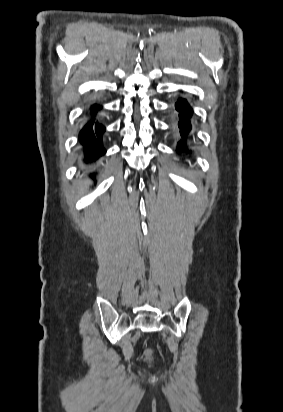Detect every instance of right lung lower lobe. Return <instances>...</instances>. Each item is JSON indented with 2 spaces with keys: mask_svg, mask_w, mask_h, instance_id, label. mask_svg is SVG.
I'll return each instance as SVG.
<instances>
[{
  "mask_svg": "<svg viewBox=\"0 0 283 412\" xmlns=\"http://www.w3.org/2000/svg\"><path fill=\"white\" fill-rule=\"evenodd\" d=\"M97 109V105L92 107L90 118L79 133V140L84 147L85 161L90 163L105 153L102 147L105 126L100 120L95 119Z\"/></svg>",
  "mask_w": 283,
  "mask_h": 412,
  "instance_id": "1",
  "label": "right lung lower lobe"
}]
</instances>
